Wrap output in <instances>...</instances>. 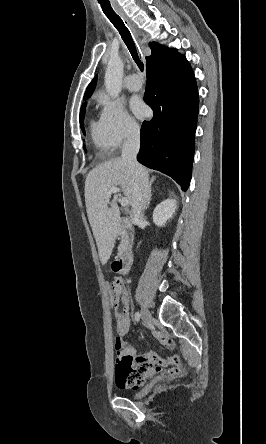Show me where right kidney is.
Masks as SVG:
<instances>
[{"mask_svg": "<svg viewBox=\"0 0 266 444\" xmlns=\"http://www.w3.org/2000/svg\"><path fill=\"white\" fill-rule=\"evenodd\" d=\"M177 208V201L175 199H166L156 206L153 212L154 223L162 227L165 223L173 217Z\"/></svg>", "mask_w": 266, "mask_h": 444, "instance_id": "obj_1", "label": "right kidney"}]
</instances>
